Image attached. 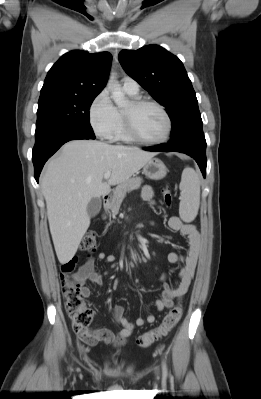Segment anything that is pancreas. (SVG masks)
I'll list each match as a JSON object with an SVG mask.
<instances>
[{"mask_svg": "<svg viewBox=\"0 0 261 399\" xmlns=\"http://www.w3.org/2000/svg\"><path fill=\"white\" fill-rule=\"evenodd\" d=\"M142 182L143 179L141 177H132L116 187L114 190V201L110 206V210L113 215L119 213L120 206L126 196V193L135 189H139Z\"/></svg>", "mask_w": 261, "mask_h": 399, "instance_id": "1", "label": "pancreas"}]
</instances>
